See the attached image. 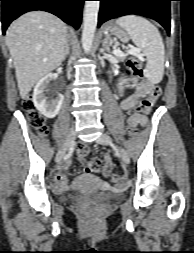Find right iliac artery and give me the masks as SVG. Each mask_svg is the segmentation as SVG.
<instances>
[{
	"mask_svg": "<svg viewBox=\"0 0 194 253\" xmlns=\"http://www.w3.org/2000/svg\"><path fill=\"white\" fill-rule=\"evenodd\" d=\"M72 153V148L70 149L69 153L66 155L65 159L68 158Z\"/></svg>",
	"mask_w": 194,
	"mask_h": 253,
	"instance_id": "82829eb1",
	"label": "right iliac artery"
}]
</instances>
